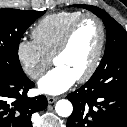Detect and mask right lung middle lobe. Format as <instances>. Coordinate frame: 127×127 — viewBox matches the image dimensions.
Here are the masks:
<instances>
[{
    "label": "right lung middle lobe",
    "instance_id": "right-lung-middle-lobe-1",
    "mask_svg": "<svg viewBox=\"0 0 127 127\" xmlns=\"http://www.w3.org/2000/svg\"><path fill=\"white\" fill-rule=\"evenodd\" d=\"M45 11L0 9V66L23 74L18 58L19 42L27 28Z\"/></svg>",
    "mask_w": 127,
    "mask_h": 127
}]
</instances>
